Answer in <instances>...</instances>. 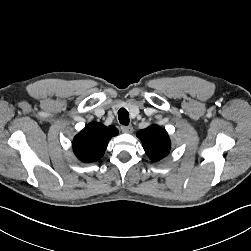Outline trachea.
<instances>
[{
	"label": "trachea",
	"instance_id": "1",
	"mask_svg": "<svg viewBox=\"0 0 251 251\" xmlns=\"http://www.w3.org/2000/svg\"><path fill=\"white\" fill-rule=\"evenodd\" d=\"M118 119L122 125L127 126L129 124V113L125 108L119 109Z\"/></svg>",
	"mask_w": 251,
	"mask_h": 251
}]
</instances>
